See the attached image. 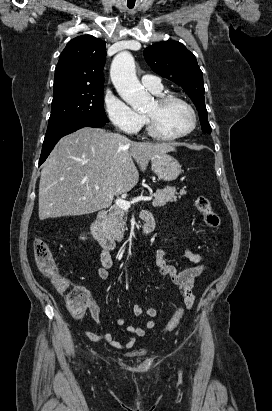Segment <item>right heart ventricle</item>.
<instances>
[{
    "mask_svg": "<svg viewBox=\"0 0 272 411\" xmlns=\"http://www.w3.org/2000/svg\"><path fill=\"white\" fill-rule=\"evenodd\" d=\"M153 93L157 94V95H162V90L161 91H152Z\"/></svg>",
    "mask_w": 272,
    "mask_h": 411,
    "instance_id": "obj_1",
    "label": "right heart ventricle"
}]
</instances>
